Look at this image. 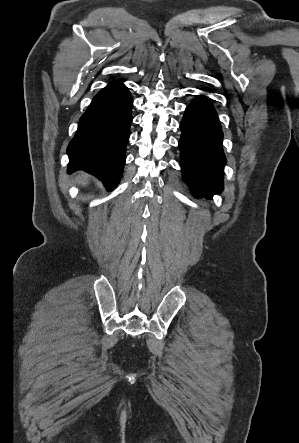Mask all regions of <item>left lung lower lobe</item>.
<instances>
[{"label": "left lung lower lobe", "mask_w": 299, "mask_h": 443, "mask_svg": "<svg viewBox=\"0 0 299 443\" xmlns=\"http://www.w3.org/2000/svg\"><path fill=\"white\" fill-rule=\"evenodd\" d=\"M179 141L184 180L195 197L212 198L223 190L222 130L209 98L198 96L186 108Z\"/></svg>", "instance_id": "0a47b994"}]
</instances>
